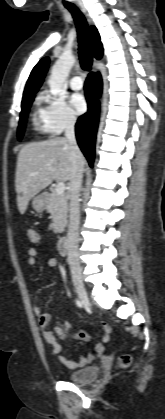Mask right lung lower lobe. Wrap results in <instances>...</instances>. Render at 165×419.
<instances>
[{
	"mask_svg": "<svg viewBox=\"0 0 165 419\" xmlns=\"http://www.w3.org/2000/svg\"><path fill=\"white\" fill-rule=\"evenodd\" d=\"M85 95L88 111L79 117L76 123V138L79 147L87 158L90 166L93 165L95 138L99 119V101L102 81L99 73H90L85 82Z\"/></svg>",
	"mask_w": 165,
	"mask_h": 419,
	"instance_id": "1",
	"label": "right lung lower lobe"
}]
</instances>
